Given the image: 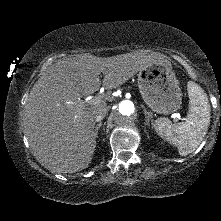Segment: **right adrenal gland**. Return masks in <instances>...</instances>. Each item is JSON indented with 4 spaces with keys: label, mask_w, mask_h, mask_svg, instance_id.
<instances>
[{
    "label": "right adrenal gland",
    "mask_w": 221,
    "mask_h": 221,
    "mask_svg": "<svg viewBox=\"0 0 221 221\" xmlns=\"http://www.w3.org/2000/svg\"><path fill=\"white\" fill-rule=\"evenodd\" d=\"M101 126H102V122L100 121L95 127V137L96 138L98 137V131L101 128Z\"/></svg>",
    "instance_id": "2a0ac1e0"
}]
</instances>
